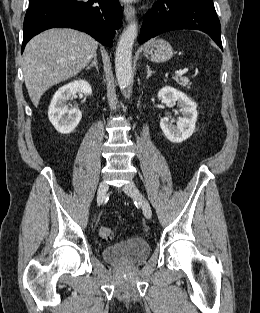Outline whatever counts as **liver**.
<instances>
[{"instance_id": "liver-1", "label": "liver", "mask_w": 260, "mask_h": 313, "mask_svg": "<svg viewBox=\"0 0 260 313\" xmlns=\"http://www.w3.org/2000/svg\"><path fill=\"white\" fill-rule=\"evenodd\" d=\"M97 41L74 29H49L32 38L23 53V76L35 107L53 85L78 74L91 61Z\"/></svg>"}]
</instances>
